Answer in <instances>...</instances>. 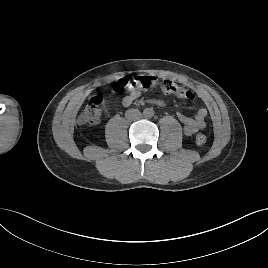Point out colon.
Segmentation results:
<instances>
[{"label": "colon", "mask_w": 268, "mask_h": 268, "mask_svg": "<svg viewBox=\"0 0 268 268\" xmlns=\"http://www.w3.org/2000/svg\"><path fill=\"white\" fill-rule=\"evenodd\" d=\"M159 87L166 94H173L177 97L191 100L194 98L193 92L178 85L171 80H163L161 82L151 75H139L133 78H122L118 80L113 88L114 92H120L128 89L151 90ZM103 99L101 96H92L85 108L79 115V122L81 124L94 125L97 124L102 115ZM208 137L206 134L200 133L196 136V143L203 145L207 142Z\"/></svg>", "instance_id": "colon-1"}]
</instances>
